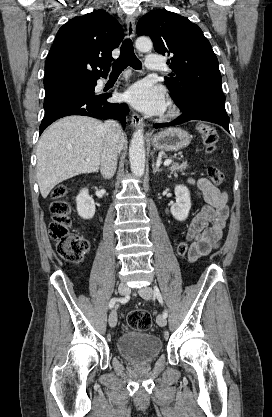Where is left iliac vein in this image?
<instances>
[{"label": "left iliac vein", "instance_id": "4c4485c4", "mask_svg": "<svg viewBox=\"0 0 272 417\" xmlns=\"http://www.w3.org/2000/svg\"><path fill=\"white\" fill-rule=\"evenodd\" d=\"M138 293L143 299L149 300L153 295V290L150 286H146L139 289ZM156 322L160 327H164L167 324V320L165 317H163V315H158L156 318Z\"/></svg>", "mask_w": 272, "mask_h": 417}]
</instances>
